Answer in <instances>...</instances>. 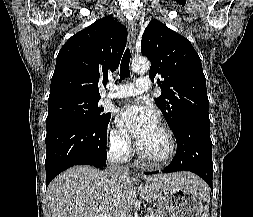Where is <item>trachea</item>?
<instances>
[{
    "mask_svg": "<svg viewBox=\"0 0 253 217\" xmlns=\"http://www.w3.org/2000/svg\"><path fill=\"white\" fill-rule=\"evenodd\" d=\"M130 57H131V53H130L129 48H127L121 60V67H120L121 79L130 77V69H129Z\"/></svg>",
    "mask_w": 253,
    "mask_h": 217,
    "instance_id": "3493384b",
    "label": "trachea"
}]
</instances>
